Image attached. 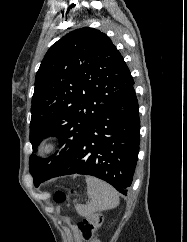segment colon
I'll return each instance as SVG.
<instances>
[{"label":"colon","mask_w":187,"mask_h":242,"mask_svg":"<svg viewBox=\"0 0 187 242\" xmlns=\"http://www.w3.org/2000/svg\"><path fill=\"white\" fill-rule=\"evenodd\" d=\"M71 194H73V190H70ZM67 199L66 194L59 190L56 191L54 194V200L57 203H62ZM102 223V215L100 214H93L91 216H88L84 219H82L78 223V229L81 235V238L87 242H98L96 240H93L96 230L100 227Z\"/></svg>","instance_id":"5ec220e1"}]
</instances>
